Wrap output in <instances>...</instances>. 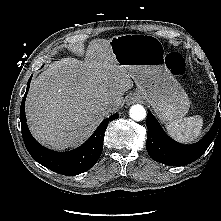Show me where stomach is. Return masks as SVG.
<instances>
[{
	"label": "stomach",
	"instance_id": "obj_1",
	"mask_svg": "<svg viewBox=\"0 0 221 221\" xmlns=\"http://www.w3.org/2000/svg\"><path fill=\"white\" fill-rule=\"evenodd\" d=\"M109 44L117 63L134 79L136 94L151 104L162 122L169 123L187 114L189 98L166 67L164 48L157 38L125 34L113 37Z\"/></svg>",
	"mask_w": 221,
	"mask_h": 221
}]
</instances>
